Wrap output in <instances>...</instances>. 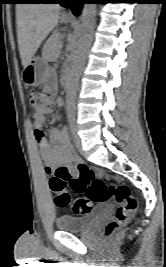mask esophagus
Masks as SVG:
<instances>
[{"instance_id": "1", "label": "esophagus", "mask_w": 166, "mask_h": 267, "mask_svg": "<svg viewBox=\"0 0 166 267\" xmlns=\"http://www.w3.org/2000/svg\"><path fill=\"white\" fill-rule=\"evenodd\" d=\"M64 15L68 16V17H74V14L72 13V11L70 9H67L65 12H64Z\"/></svg>"}]
</instances>
